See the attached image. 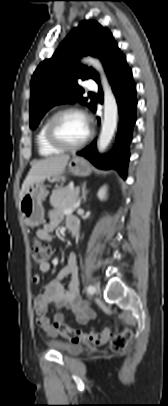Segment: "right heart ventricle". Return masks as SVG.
<instances>
[{"label": "right heart ventricle", "mask_w": 168, "mask_h": 406, "mask_svg": "<svg viewBox=\"0 0 168 406\" xmlns=\"http://www.w3.org/2000/svg\"><path fill=\"white\" fill-rule=\"evenodd\" d=\"M48 119H46L39 127L37 134H36V143L38 147V151L42 156H53L59 154L62 149L56 148L49 144L46 139V126L48 123Z\"/></svg>", "instance_id": "right-heart-ventricle-1"}]
</instances>
